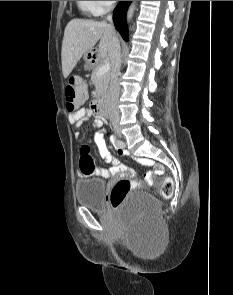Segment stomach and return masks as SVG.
<instances>
[{"label":"stomach","mask_w":233,"mask_h":295,"mask_svg":"<svg viewBox=\"0 0 233 295\" xmlns=\"http://www.w3.org/2000/svg\"><path fill=\"white\" fill-rule=\"evenodd\" d=\"M89 53L90 52H86L85 54H84V60H85V63H86V65H85V67L86 68H90L91 67V56L89 55Z\"/></svg>","instance_id":"1"}]
</instances>
